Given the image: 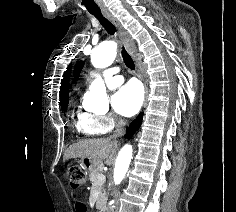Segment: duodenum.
<instances>
[{"instance_id":"duodenum-1","label":"duodenum","mask_w":236,"mask_h":212,"mask_svg":"<svg viewBox=\"0 0 236 212\" xmlns=\"http://www.w3.org/2000/svg\"><path fill=\"white\" fill-rule=\"evenodd\" d=\"M99 212H108L107 208L101 209Z\"/></svg>"}]
</instances>
